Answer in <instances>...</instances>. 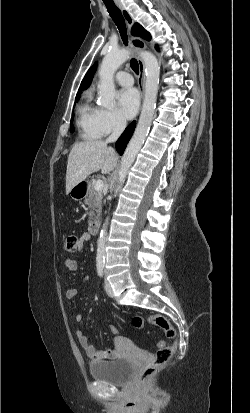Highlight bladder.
<instances>
[{"label": "bladder", "mask_w": 250, "mask_h": 413, "mask_svg": "<svg viewBox=\"0 0 250 413\" xmlns=\"http://www.w3.org/2000/svg\"><path fill=\"white\" fill-rule=\"evenodd\" d=\"M134 365L129 358H117L111 361H97L89 364L93 379L111 385H123L131 377Z\"/></svg>", "instance_id": "1"}]
</instances>
